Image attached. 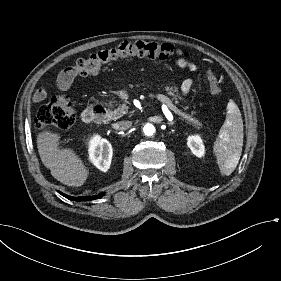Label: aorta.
Segmentation results:
<instances>
[{
    "label": "aorta",
    "instance_id": "aorta-1",
    "mask_svg": "<svg viewBox=\"0 0 281 281\" xmlns=\"http://www.w3.org/2000/svg\"><path fill=\"white\" fill-rule=\"evenodd\" d=\"M143 132L147 136H152L155 133V128H154V126L152 124L147 123L143 127Z\"/></svg>",
    "mask_w": 281,
    "mask_h": 281
}]
</instances>
